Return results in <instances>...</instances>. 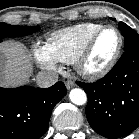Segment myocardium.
Returning a JSON list of instances; mask_svg holds the SVG:
<instances>
[{
	"label": "myocardium",
	"mask_w": 139,
	"mask_h": 139,
	"mask_svg": "<svg viewBox=\"0 0 139 139\" xmlns=\"http://www.w3.org/2000/svg\"><path fill=\"white\" fill-rule=\"evenodd\" d=\"M108 29L114 30L118 36L117 48L111 59L103 67L97 70H90L86 67V62L92 52V49L94 47L97 38L101 35V33H103ZM123 44H124L123 35L117 27L113 25H103L91 35V37L88 39V41L78 54L74 62L75 69L82 77L89 80H98L105 77L112 71V69L117 64L123 49Z\"/></svg>",
	"instance_id": "f54148a6"
}]
</instances>
